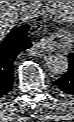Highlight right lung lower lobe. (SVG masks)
<instances>
[{
	"label": "right lung lower lobe",
	"instance_id": "obj_1",
	"mask_svg": "<svg viewBox=\"0 0 74 122\" xmlns=\"http://www.w3.org/2000/svg\"><path fill=\"white\" fill-rule=\"evenodd\" d=\"M29 25L13 28L0 40V98L12 90L13 62L18 54L29 49L32 44L27 38Z\"/></svg>",
	"mask_w": 74,
	"mask_h": 122
}]
</instances>
